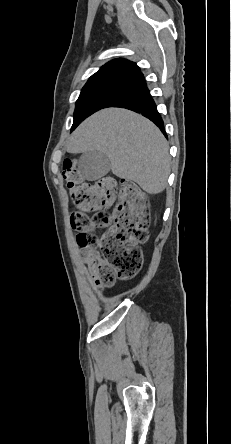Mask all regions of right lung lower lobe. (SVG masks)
<instances>
[{
  "label": "right lung lower lobe",
  "instance_id": "obj_1",
  "mask_svg": "<svg viewBox=\"0 0 231 444\" xmlns=\"http://www.w3.org/2000/svg\"><path fill=\"white\" fill-rule=\"evenodd\" d=\"M110 107H123L141 113L154 122L162 133L167 136L164 130V122L156 109V105L146 85L125 94Z\"/></svg>",
  "mask_w": 231,
  "mask_h": 444
}]
</instances>
